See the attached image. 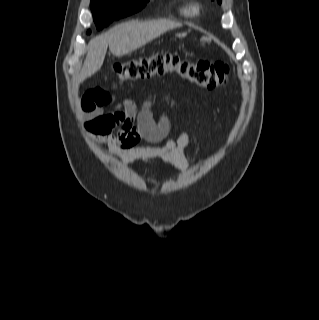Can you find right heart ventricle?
<instances>
[{
    "label": "right heart ventricle",
    "mask_w": 319,
    "mask_h": 320,
    "mask_svg": "<svg viewBox=\"0 0 319 320\" xmlns=\"http://www.w3.org/2000/svg\"><path fill=\"white\" fill-rule=\"evenodd\" d=\"M200 11V6L197 3H189L185 5L182 9V13L186 16L197 15Z\"/></svg>",
    "instance_id": "e07e8e85"
}]
</instances>
